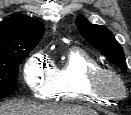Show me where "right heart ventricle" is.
<instances>
[{"instance_id":"1","label":"right heart ventricle","mask_w":131,"mask_h":115,"mask_svg":"<svg viewBox=\"0 0 131 115\" xmlns=\"http://www.w3.org/2000/svg\"><path fill=\"white\" fill-rule=\"evenodd\" d=\"M99 67L98 61L88 52L79 48L68 49L61 64L54 68L56 88L50 98L96 106L112 102L113 99L97 95L86 86L89 71Z\"/></svg>"}]
</instances>
